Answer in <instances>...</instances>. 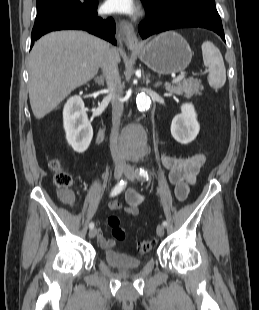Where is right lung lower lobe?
Returning a JSON list of instances; mask_svg holds the SVG:
<instances>
[{"label": "right lung lower lobe", "instance_id": "obj_1", "mask_svg": "<svg viewBox=\"0 0 259 310\" xmlns=\"http://www.w3.org/2000/svg\"><path fill=\"white\" fill-rule=\"evenodd\" d=\"M98 1L84 2L83 6L70 11H53L36 17L31 35V46L44 34L62 29L86 30L114 45L116 25L113 18L97 16Z\"/></svg>", "mask_w": 259, "mask_h": 310}]
</instances>
